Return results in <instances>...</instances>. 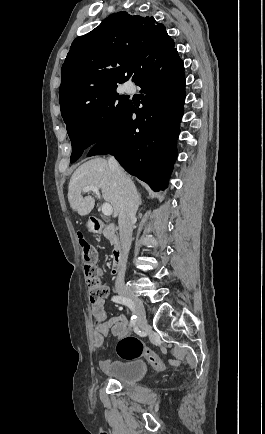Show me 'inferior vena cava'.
Wrapping results in <instances>:
<instances>
[{
    "label": "inferior vena cava",
    "mask_w": 265,
    "mask_h": 434,
    "mask_svg": "<svg viewBox=\"0 0 265 434\" xmlns=\"http://www.w3.org/2000/svg\"><path fill=\"white\" fill-rule=\"evenodd\" d=\"M108 166L113 170L115 180L119 186L120 212L118 214V224L122 254L120 260L121 270L117 274V280H124L132 240L133 224L136 222L135 216L138 210L139 200L132 180L122 172L115 158H110Z\"/></svg>",
    "instance_id": "obj_1"
}]
</instances>
